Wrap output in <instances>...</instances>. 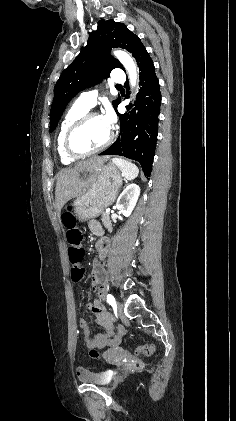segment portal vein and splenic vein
<instances>
[{"label":"portal vein and splenic vein","mask_w":236,"mask_h":421,"mask_svg":"<svg viewBox=\"0 0 236 421\" xmlns=\"http://www.w3.org/2000/svg\"><path fill=\"white\" fill-rule=\"evenodd\" d=\"M106 213H109V208H106Z\"/></svg>","instance_id":"1"}]
</instances>
